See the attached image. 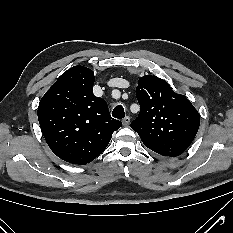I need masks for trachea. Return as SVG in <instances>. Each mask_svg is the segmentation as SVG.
<instances>
[{
  "label": "trachea",
  "instance_id": "3493384b",
  "mask_svg": "<svg viewBox=\"0 0 233 233\" xmlns=\"http://www.w3.org/2000/svg\"><path fill=\"white\" fill-rule=\"evenodd\" d=\"M112 116L117 119L125 117L124 108L121 105L116 106L112 111Z\"/></svg>",
  "mask_w": 233,
  "mask_h": 233
}]
</instances>
